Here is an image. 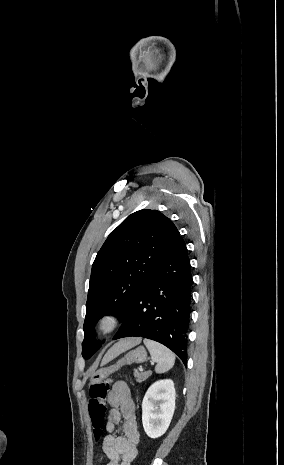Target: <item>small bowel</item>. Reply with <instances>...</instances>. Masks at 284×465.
<instances>
[{"mask_svg": "<svg viewBox=\"0 0 284 465\" xmlns=\"http://www.w3.org/2000/svg\"><path fill=\"white\" fill-rule=\"evenodd\" d=\"M108 403L112 408L107 417L108 434L102 442L103 451L108 458L107 465H131L138 454L140 434L134 398L124 381L113 384ZM121 423L123 434L117 435L114 432Z\"/></svg>", "mask_w": 284, "mask_h": 465, "instance_id": "c3829d8e", "label": "small bowel"}]
</instances>
